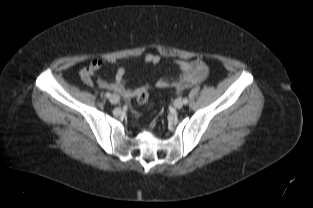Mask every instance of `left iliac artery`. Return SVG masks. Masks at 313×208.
I'll return each mask as SVG.
<instances>
[{
	"mask_svg": "<svg viewBox=\"0 0 313 208\" xmlns=\"http://www.w3.org/2000/svg\"><path fill=\"white\" fill-rule=\"evenodd\" d=\"M183 103H184V104H187V103H188V99H187V98H184V99H183Z\"/></svg>",
	"mask_w": 313,
	"mask_h": 208,
	"instance_id": "left-iliac-artery-1",
	"label": "left iliac artery"
}]
</instances>
